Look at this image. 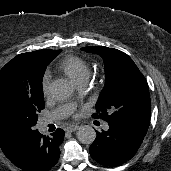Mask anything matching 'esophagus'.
Wrapping results in <instances>:
<instances>
[{
  "instance_id": "34e87169",
  "label": "esophagus",
  "mask_w": 171,
  "mask_h": 171,
  "mask_svg": "<svg viewBox=\"0 0 171 171\" xmlns=\"http://www.w3.org/2000/svg\"><path fill=\"white\" fill-rule=\"evenodd\" d=\"M79 128H80V126H78V125H69V126H67L65 128V131H67V132H75Z\"/></svg>"
}]
</instances>
